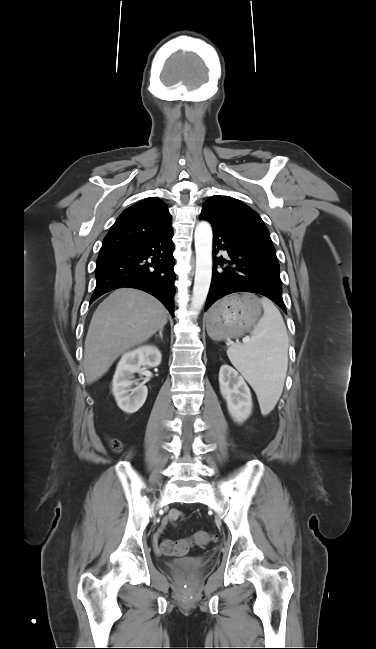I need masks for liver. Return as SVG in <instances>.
<instances>
[{"mask_svg":"<svg viewBox=\"0 0 376 649\" xmlns=\"http://www.w3.org/2000/svg\"><path fill=\"white\" fill-rule=\"evenodd\" d=\"M168 311L152 295L135 288L113 291L97 307L85 340L84 372L91 384L126 350L147 341L167 323Z\"/></svg>","mask_w":376,"mask_h":649,"instance_id":"obj_1","label":"liver"}]
</instances>
